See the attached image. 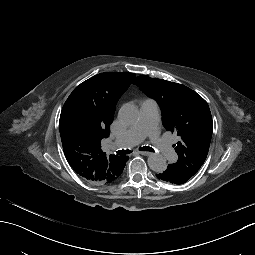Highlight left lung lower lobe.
<instances>
[{
  "instance_id": "1",
  "label": "left lung lower lobe",
  "mask_w": 255,
  "mask_h": 255,
  "mask_svg": "<svg viewBox=\"0 0 255 255\" xmlns=\"http://www.w3.org/2000/svg\"><path fill=\"white\" fill-rule=\"evenodd\" d=\"M155 177L167 184H183L188 181L185 175L179 174L171 165L165 167L161 173L157 172Z\"/></svg>"
}]
</instances>
